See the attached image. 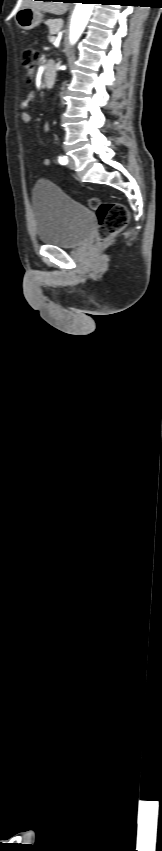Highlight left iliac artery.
I'll use <instances>...</instances> for the list:
<instances>
[{"mask_svg":"<svg viewBox=\"0 0 162 851\" xmlns=\"http://www.w3.org/2000/svg\"><path fill=\"white\" fill-rule=\"evenodd\" d=\"M58 160H59V163L62 164V165H65L68 162V159H67L66 156H60Z\"/></svg>","mask_w":162,"mask_h":851,"instance_id":"obj_1","label":"left iliac artery"}]
</instances>
